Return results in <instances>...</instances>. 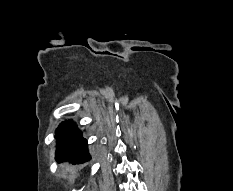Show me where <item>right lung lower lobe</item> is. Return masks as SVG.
Wrapping results in <instances>:
<instances>
[{
    "label": "right lung lower lobe",
    "instance_id": "right-lung-lower-lobe-1",
    "mask_svg": "<svg viewBox=\"0 0 233 191\" xmlns=\"http://www.w3.org/2000/svg\"><path fill=\"white\" fill-rule=\"evenodd\" d=\"M56 159L69 160L74 163L83 162L90 158L87 152V141L72 120L59 125L57 131Z\"/></svg>",
    "mask_w": 233,
    "mask_h": 191
}]
</instances>
